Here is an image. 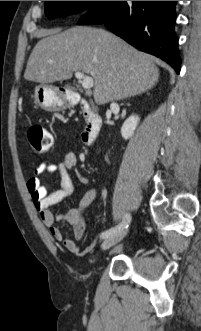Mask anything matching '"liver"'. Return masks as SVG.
Wrapping results in <instances>:
<instances>
[{"label":"liver","mask_w":201,"mask_h":331,"mask_svg":"<svg viewBox=\"0 0 201 331\" xmlns=\"http://www.w3.org/2000/svg\"><path fill=\"white\" fill-rule=\"evenodd\" d=\"M80 71L93 79L99 105L141 94L159 79L149 55L110 32L90 27L47 32L30 54L24 78L46 85Z\"/></svg>","instance_id":"6515ba94"}]
</instances>
